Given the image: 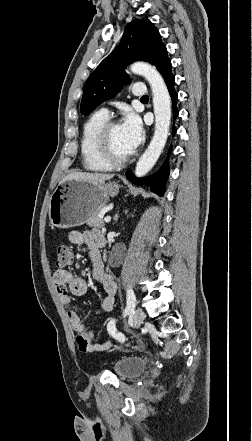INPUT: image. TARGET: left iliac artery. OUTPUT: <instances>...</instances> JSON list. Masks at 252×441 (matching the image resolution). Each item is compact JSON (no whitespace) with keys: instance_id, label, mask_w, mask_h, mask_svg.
<instances>
[{"instance_id":"obj_1","label":"left iliac artery","mask_w":252,"mask_h":441,"mask_svg":"<svg viewBox=\"0 0 252 441\" xmlns=\"http://www.w3.org/2000/svg\"><path fill=\"white\" fill-rule=\"evenodd\" d=\"M136 305V297L131 288L127 289V305L124 310V315H127L131 312H134V308ZM108 332L113 336L114 341L123 342L125 340L126 333L123 330H120L116 327L115 321H109L106 324Z\"/></svg>"}]
</instances>
